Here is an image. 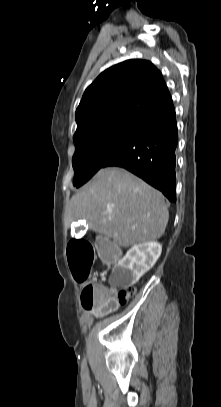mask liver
Returning <instances> with one entry per match:
<instances>
[{"label": "liver", "instance_id": "obj_1", "mask_svg": "<svg viewBox=\"0 0 221 407\" xmlns=\"http://www.w3.org/2000/svg\"><path fill=\"white\" fill-rule=\"evenodd\" d=\"M70 206L71 220H86L92 231L122 247L157 240L169 219L163 194L118 167L99 170Z\"/></svg>", "mask_w": 221, "mask_h": 407}]
</instances>
